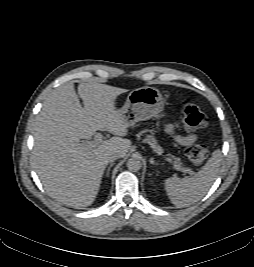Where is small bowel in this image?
<instances>
[{
  "label": "small bowel",
  "mask_w": 254,
  "mask_h": 267,
  "mask_svg": "<svg viewBox=\"0 0 254 267\" xmlns=\"http://www.w3.org/2000/svg\"><path fill=\"white\" fill-rule=\"evenodd\" d=\"M167 129L170 133L173 134L175 141L182 146L192 145L197 139V136L195 134H187V135L174 134L173 129L170 125H167Z\"/></svg>",
  "instance_id": "small-bowel-1"
}]
</instances>
